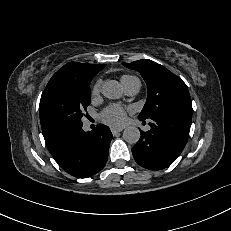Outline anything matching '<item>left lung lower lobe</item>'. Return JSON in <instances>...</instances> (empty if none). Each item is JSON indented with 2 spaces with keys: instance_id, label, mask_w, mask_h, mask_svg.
Here are the masks:
<instances>
[{
  "instance_id": "0a47b994",
  "label": "left lung lower lobe",
  "mask_w": 231,
  "mask_h": 231,
  "mask_svg": "<svg viewBox=\"0 0 231 231\" xmlns=\"http://www.w3.org/2000/svg\"><path fill=\"white\" fill-rule=\"evenodd\" d=\"M151 120V129L141 131V138L132 147V153L140 166L160 170L171 165L184 149L192 116L161 112Z\"/></svg>"
}]
</instances>
